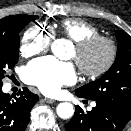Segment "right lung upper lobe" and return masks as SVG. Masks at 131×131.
<instances>
[{
    "mask_svg": "<svg viewBox=\"0 0 131 131\" xmlns=\"http://www.w3.org/2000/svg\"><path fill=\"white\" fill-rule=\"evenodd\" d=\"M14 16V15H13ZM11 16L4 17L3 19L0 20V27H6L10 20Z\"/></svg>",
    "mask_w": 131,
    "mask_h": 131,
    "instance_id": "obj_1",
    "label": "right lung upper lobe"
}]
</instances>
